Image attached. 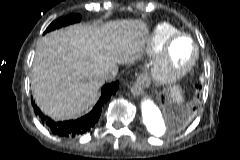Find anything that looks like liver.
I'll return each instance as SVG.
<instances>
[{
  "instance_id": "obj_1",
  "label": "liver",
  "mask_w": 240,
  "mask_h": 160,
  "mask_svg": "<svg viewBox=\"0 0 240 160\" xmlns=\"http://www.w3.org/2000/svg\"><path fill=\"white\" fill-rule=\"evenodd\" d=\"M148 29L140 20H116L101 26L75 24L43 36L32 66L33 97L54 120L78 117L90 106L102 74L140 57Z\"/></svg>"
}]
</instances>
